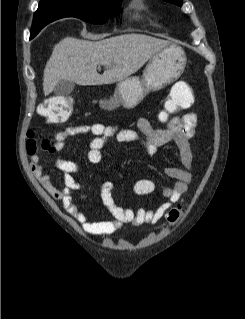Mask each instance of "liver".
Returning a JSON list of instances; mask_svg holds the SVG:
<instances>
[{
  "mask_svg": "<svg viewBox=\"0 0 245 319\" xmlns=\"http://www.w3.org/2000/svg\"><path fill=\"white\" fill-rule=\"evenodd\" d=\"M169 44V41L137 33L96 42L66 37L54 46L45 66L44 95H49L60 80L81 86L122 81ZM99 65L105 67L102 75L97 72Z\"/></svg>",
  "mask_w": 245,
  "mask_h": 319,
  "instance_id": "obj_1",
  "label": "liver"
}]
</instances>
